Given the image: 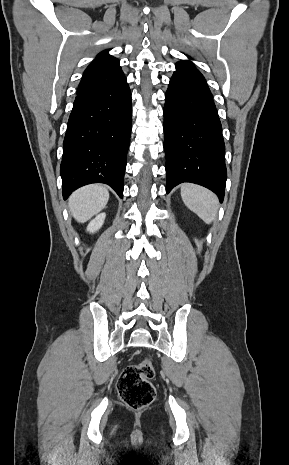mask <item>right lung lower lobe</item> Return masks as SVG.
Instances as JSON below:
<instances>
[{
	"label": "right lung lower lobe",
	"mask_w": 289,
	"mask_h": 465,
	"mask_svg": "<svg viewBox=\"0 0 289 465\" xmlns=\"http://www.w3.org/2000/svg\"><path fill=\"white\" fill-rule=\"evenodd\" d=\"M131 117L125 76L110 86L77 93L60 166L64 199L90 183L108 184L122 198Z\"/></svg>",
	"instance_id": "obj_1"
}]
</instances>
